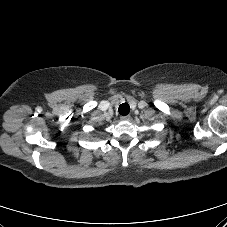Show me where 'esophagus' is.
Instances as JSON below:
<instances>
[{
    "instance_id": "esophagus-1",
    "label": "esophagus",
    "mask_w": 227,
    "mask_h": 227,
    "mask_svg": "<svg viewBox=\"0 0 227 227\" xmlns=\"http://www.w3.org/2000/svg\"><path fill=\"white\" fill-rule=\"evenodd\" d=\"M121 120L123 121H129L130 120V116H121Z\"/></svg>"
}]
</instances>
